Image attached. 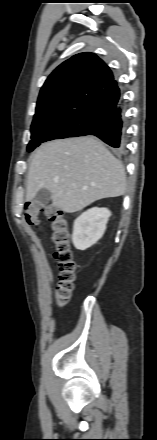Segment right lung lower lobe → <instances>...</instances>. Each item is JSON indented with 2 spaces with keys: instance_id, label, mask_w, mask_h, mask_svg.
I'll list each match as a JSON object with an SVG mask.
<instances>
[{
  "instance_id": "1",
  "label": "right lung lower lobe",
  "mask_w": 157,
  "mask_h": 440,
  "mask_svg": "<svg viewBox=\"0 0 157 440\" xmlns=\"http://www.w3.org/2000/svg\"><path fill=\"white\" fill-rule=\"evenodd\" d=\"M87 127L89 135L97 136L114 148L123 149L126 125L122 102L115 109L105 111L97 118L92 119Z\"/></svg>"
}]
</instances>
